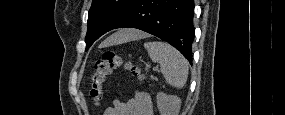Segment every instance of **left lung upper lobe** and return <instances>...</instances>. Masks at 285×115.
I'll use <instances>...</instances> for the list:
<instances>
[{
	"instance_id": "obj_1",
	"label": "left lung upper lobe",
	"mask_w": 285,
	"mask_h": 115,
	"mask_svg": "<svg viewBox=\"0 0 285 115\" xmlns=\"http://www.w3.org/2000/svg\"><path fill=\"white\" fill-rule=\"evenodd\" d=\"M135 0H93L88 14L86 50L108 32L114 22Z\"/></svg>"
}]
</instances>
